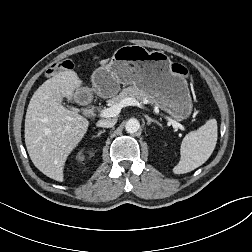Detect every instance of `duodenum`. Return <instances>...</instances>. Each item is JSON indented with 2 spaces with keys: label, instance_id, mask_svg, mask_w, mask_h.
Returning <instances> with one entry per match:
<instances>
[{
  "label": "duodenum",
  "instance_id": "obj_1",
  "mask_svg": "<svg viewBox=\"0 0 252 252\" xmlns=\"http://www.w3.org/2000/svg\"><path fill=\"white\" fill-rule=\"evenodd\" d=\"M88 111H89L90 114L93 113V112H94L93 106H90V107L88 108Z\"/></svg>",
  "mask_w": 252,
  "mask_h": 252
}]
</instances>
